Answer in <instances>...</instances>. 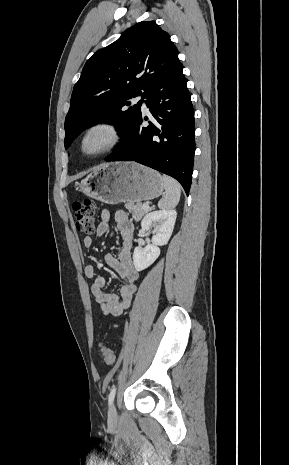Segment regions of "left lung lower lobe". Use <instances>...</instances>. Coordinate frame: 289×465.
<instances>
[{
    "label": "left lung lower lobe",
    "mask_w": 289,
    "mask_h": 465,
    "mask_svg": "<svg viewBox=\"0 0 289 465\" xmlns=\"http://www.w3.org/2000/svg\"><path fill=\"white\" fill-rule=\"evenodd\" d=\"M142 97L146 98L154 123L143 127L140 115L120 148L105 159L136 161L165 173L178 180L188 195L195 153V122L183 67L149 88Z\"/></svg>",
    "instance_id": "0a47b994"
}]
</instances>
